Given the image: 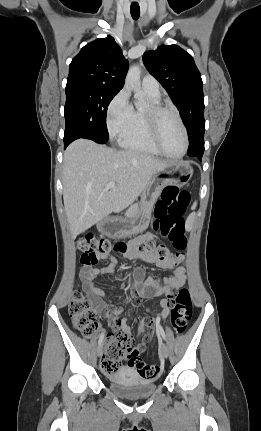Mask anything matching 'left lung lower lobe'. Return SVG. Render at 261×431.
I'll list each match as a JSON object with an SVG mask.
<instances>
[{
    "label": "left lung lower lobe",
    "mask_w": 261,
    "mask_h": 431,
    "mask_svg": "<svg viewBox=\"0 0 261 431\" xmlns=\"http://www.w3.org/2000/svg\"><path fill=\"white\" fill-rule=\"evenodd\" d=\"M198 159L201 161L202 160V156H199Z\"/></svg>",
    "instance_id": "1"
}]
</instances>
